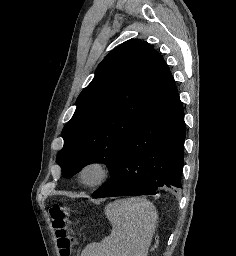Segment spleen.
I'll return each mask as SVG.
<instances>
[{
	"instance_id": "3e777b00",
	"label": "spleen",
	"mask_w": 236,
	"mask_h": 256,
	"mask_svg": "<svg viewBox=\"0 0 236 256\" xmlns=\"http://www.w3.org/2000/svg\"><path fill=\"white\" fill-rule=\"evenodd\" d=\"M104 212L112 234L89 244L82 256H147L157 222L155 206L145 198H126L110 202Z\"/></svg>"
}]
</instances>
